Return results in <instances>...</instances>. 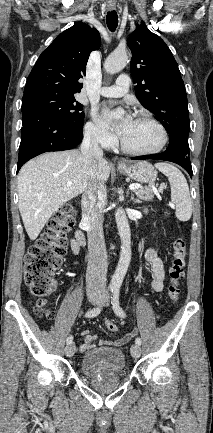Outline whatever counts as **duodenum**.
Listing matches in <instances>:
<instances>
[{"label":"duodenum","mask_w":213,"mask_h":433,"mask_svg":"<svg viewBox=\"0 0 213 433\" xmlns=\"http://www.w3.org/2000/svg\"><path fill=\"white\" fill-rule=\"evenodd\" d=\"M75 240L79 245H83L85 243V236L82 230L78 229L76 231Z\"/></svg>","instance_id":"1"}]
</instances>
